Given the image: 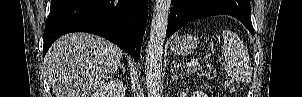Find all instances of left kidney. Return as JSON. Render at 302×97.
<instances>
[{
	"label": "left kidney",
	"mask_w": 302,
	"mask_h": 97,
	"mask_svg": "<svg viewBox=\"0 0 302 97\" xmlns=\"http://www.w3.org/2000/svg\"><path fill=\"white\" fill-rule=\"evenodd\" d=\"M180 97H187V93L186 92H181L180 93ZM192 97H208L206 93L202 92V91H196L193 92Z\"/></svg>",
	"instance_id": "1"
}]
</instances>
